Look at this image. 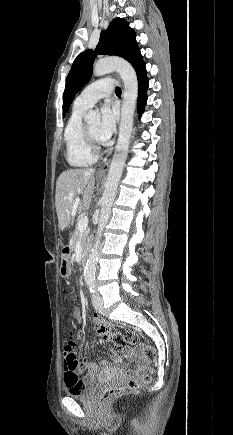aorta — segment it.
<instances>
[{
    "mask_svg": "<svg viewBox=\"0 0 233 435\" xmlns=\"http://www.w3.org/2000/svg\"><path fill=\"white\" fill-rule=\"evenodd\" d=\"M112 71L118 72L124 82L121 121L115 153L109 167L105 190L101 198V211L95 243L91 249L84 271V278L86 281L94 280L102 232L110 218L111 208L117 194L118 184L128 154L129 142L133 129V115L138 94L137 75L133 67L127 61L120 58H105L98 60L93 67V74L95 76H102ZM85 119L88 122H98L100 120V113L91 110L85 116Z\"/></svg>",
    "mask_w": 233,
    "mask_h": 435,
    "instance_id": "obj_1",
    "label": "aorta"
}]
</instances>
